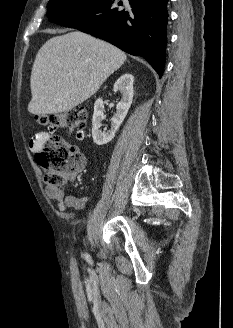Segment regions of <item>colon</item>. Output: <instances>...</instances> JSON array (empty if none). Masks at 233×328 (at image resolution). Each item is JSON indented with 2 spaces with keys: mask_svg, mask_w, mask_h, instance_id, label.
<instances>
[{
  "mask_svg": "<svg viewBox=\"0 0 233 328\" xmlns=\"http://www.w3.org/2000/svg\"><path fill=\"white\" fill-rule=\"evenodd\" d=\"M36 119L51 130L64 129L82 138L87 127L88 112L84 108H74L58 114L40 115ZM35 158L45 172V183L52 187L61 186L79 171L83 163L80 150L59 136H50Z\"/></svg>",
  "mask_w": 233,
  "mask_h": 328,
  "instance_id": "1",
  "label": "colon"
}]
</instances>
